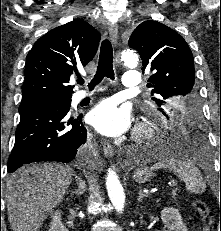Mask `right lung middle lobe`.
Instances as JSON below:
<instances>
[{"label":"right lung middle lobe","mask_w":221,"mask_h":231,"mask_svg":"<svg viewBox=\"0 0 221 231\" xmlns=\"http://www.w3.org/2000/svg\"><path fill=\"white\" fill-rule=\"evenodd\" d=\"M51 102H60L62 104H67L70 102V99H51V98H30L22 100L19 112L24 111L28 108L38 106L45 103H51Z\"/></svg>","instance_id":"1"}]
</instances>
